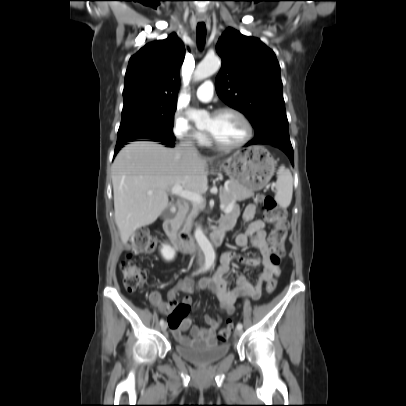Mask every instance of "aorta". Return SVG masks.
<instances>
[{
    "instance_id": "aorta-1",
    "label": "aorta",
    "mask_w": 406,
    "mask_h": 406,
    "mask_svg": "<svg viewBox=\"0 0 406 406\" xmlns=\"http://www.w3.org/2000/svg\"><path fill=\"white\" fill-rule=\"evenodd\" d=\"M220 67L219 57L207 56L196 67L194 79L197 81L206 79L216 73ZM187 116L195 122L197 128L202 127L209 119L208 113L204 110L188 109ZM195 238L205 257L204 268L210 269L215 261V252L200 226L195 230Z\"/></svg>"
}]
</instances>
